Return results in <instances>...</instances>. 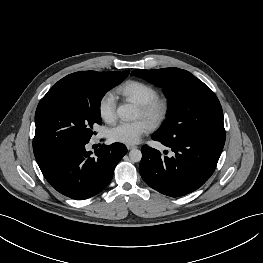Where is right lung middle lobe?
<instances>
[{
    "label": "right lung middle lobe",
    "mask_w": 263,
    "mask_h": 263,
    "mask_svg": "<svg viewBox=\"0 0 263 263\" xmlns=\"http://www.w3.org/2000/svg\"><path fill=\"white\" fill-rule=\"evenodd\" d=\"M128 74V71L103 72L76 86L50 89L35 113V157L59 146L89 141L93 125L101 124L102 97Z\"/></svg>",
    "instance_id": "dd1d6c3e"
}]
</instances>
